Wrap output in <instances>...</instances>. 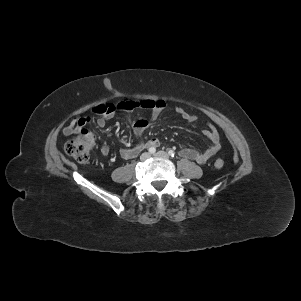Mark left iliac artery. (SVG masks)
Here are the masks:
<instances>
[{"instance_id": "1", "label": "left iliac artery", "mask_w": 301, "mask_h": 301, "mask_svg": "<svg viewBox=\"0 0 301 301\" xmlns=\"http://www.w3.org/2000/svg\"><path fill=\"white\" fill-rule=\"evenodd\" d=\"M168 154L171 156V157H175V152L173 150H169L168 151Z\"/></svg>"}]
</instances>
